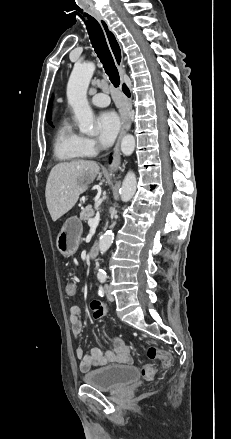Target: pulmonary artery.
Masks as SVG:
<instances>
[{"label":"pulmonary artery","mask_w":231,"mask_h":439,"mask_svg":"<svg viewBox=\"0 0 231 439\" xmlns=\"http://www.w3.org/2000/svg\"><path fill=\"white\" fill-rule=\"evenodd\" d=\"M91 102L97 107H106L110 103V98L106 93H96L92 96Z\"/></svg>","instance_id":"1"}]
</instances>
